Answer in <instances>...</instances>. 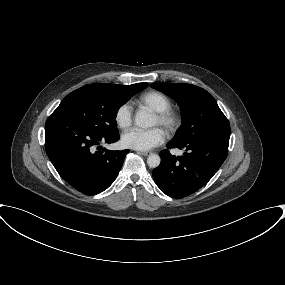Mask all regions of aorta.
I'll return each instance as SVG.
<instances>
[{
	"label": "aorta",
	"instance_id": "obj_1",
	"mask_svg": "<svg viewBox=\"0 0 285 285\" xmlns=\"http://www.w3.org/2000/svg\"><path fill=\"white\" fill-rule=\"evenodd\" d=\"M135 125L139 128H148L153 126V119L150 113L145 110L137 111L135 115ZM161 158L157 154H150L147 158V164L151 168H156L160 165Z\"/></svg>",
	"mask_w": 285,
	"mask_h": 285
}]
</instances>
